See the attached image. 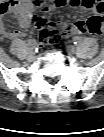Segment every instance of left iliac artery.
Segmentation results:
<instances>
[{
  "instance_id": "obj_1",
  "label": "left iliac artery",
  "mask_w": 104,
  "mask_h": 137,
  "mask_svg": "<svg viewBox=\"0 0 104 137\" xmlns=\"http://www.w3.org/2000/svg\"><path fill=\"white\" fill-rule=\"evenodd\" d=\"M73 43H74L75 45H77V44L79 43V38H78V37H74V38H73Z\"/></svg>"
}]
</instances>
